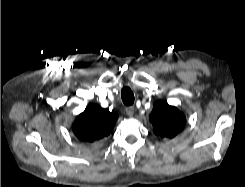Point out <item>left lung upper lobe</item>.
Instances as JSON below:
<instances>
[{
	"label": "left lung upper lobe",
	"mask_w": 245,
	"mask_h": 187,
	"mask_svg": "<svg viewBox=\"0 0 245 187\" xmlns=\"http://www.w3.org/2000/svg\"><path fill=\"white\" fill-rule=\"evenodd\" d=\"M154 133L160 137L174 138L186 124V118L176 107L157 101L150 114Z\"/></svg>",
	"instance_id": "obj_1"
}]
</instances>
